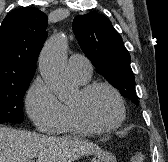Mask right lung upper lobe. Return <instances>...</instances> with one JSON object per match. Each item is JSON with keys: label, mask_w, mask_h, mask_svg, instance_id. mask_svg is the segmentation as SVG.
Instances as JSON below:
<instances>
[{"label": "right lung upper lobe", "mask_w": 168, "mask_h": 162, "mask_svg": "<svg viewBox=\"0 0 168 162\" xmlns=\"http://www.w3.org/2000/svg\"><path fill=\"white\" fill-rule=\"evenodd\" d=\"M46 27L47 16L37 8L7 14L0 26V81L34 75Z\"/></svg>", "instance_id": "1"}]
</instances>
